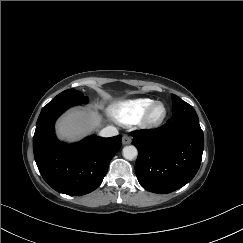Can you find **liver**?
I'll return each mask as SVG.
<instances>
[{
    "label": "liver",
    "instance_id": "obj_1",
    "mask_svg": "<svg viewBox=\"0 0 243 243\" xmlns=\"http://www.w3.org/2000/svg\"><path fill=\"white\" fill-rule=\"evenodd\" d=\"M101 122L102 117L97 110L75 108L58 120L56 131L59 139L75 141L98 129Z\"/></svg>",
    "mask_w": 243,
    "mask_h": 243
}]
</instances>
